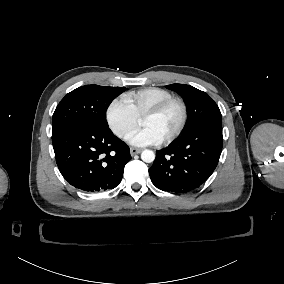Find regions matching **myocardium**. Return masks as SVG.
<instances>
[{"instance_id": "1", "label": "myocardium", "mask_w": 284, "mask_h": 284, "mask_svg": "<svg viewBox=\"0 0 284 284\" xmlns=\"http://www.w3.org/2000/svg\"><path fill=\"white\" fill-rule=\"evenodd\" d=\"M178 105L180 108V118L176 128L172 131L170 135H168L165 139L161 140L162 145H167L171 143L177 136L180 135L182 132L188 117V111L186 103L176 97H172L170 99L165 100L164 102L158 104L157 106L153 107L152 109L148 110L142 118H150V117H157L167 111L170 107Z\"/></svg>"}]
</instances>
